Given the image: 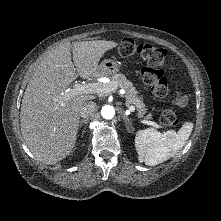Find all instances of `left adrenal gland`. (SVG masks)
<instances>
[{"label":"left adrenal gland","instance_id":"obj_1","mask_svg":"<svg viewBox=\"0 0 221 221\" xmlns=\"http://www.w3.org/2000/svg\"><path fill=\"white\" fill-rule=\"evenodd\" d=\"M121 116L123 119V122L125 123V126L127 128V130H130L129 126L131 124L130 119L128 118V116L124 113V111L121 110Z\"/></svg>","mask_w":221,"mask_h":221}]
</instances>
